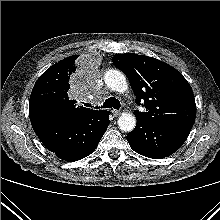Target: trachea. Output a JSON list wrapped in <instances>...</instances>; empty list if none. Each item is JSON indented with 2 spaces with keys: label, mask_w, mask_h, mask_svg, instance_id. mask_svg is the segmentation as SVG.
I'll list each match as a JSON object with an SVG mask.
<instances>
[{
  "label": "trachea",
  "mask_w": 220,
  "mask_h": 220,
  "mask_svg": "<svg viewBox=\"0 0 220 220\" xmlns=\"http://www.w3.org/2000/svg\"><path fill=\"white\" fill-rule=\"evenodd\" d=\"M86 106L91 107L90 104H86ZM121 107L120 101L116 99L115 97H110L105 100L103 104V108H114V109H119Z\"/></svg>",
  "instance_id": "1"
}]
</instances>
